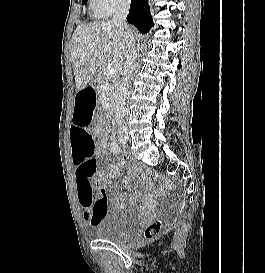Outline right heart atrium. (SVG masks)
<instances>
[{"label": "right heart atrium", "mask_w": 265, "mask_h": 273, "mask_svg": "<svg viewBox=\"0 0 265 273\" xmlns=\"http://www.w3.org/2000/svg\"><path fill=\"white\" fill-rule=\"evenodd\" d=\"M94 13L98 16H108L113 12L127 8L130 0H90Z\"/></svg>", "instance_id": "obj_1"}]
</instances>
